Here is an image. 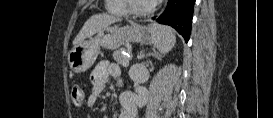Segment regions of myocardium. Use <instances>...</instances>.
<instances>
[{"instance_id": "obj_1", "label": "myocardium", "mask_w": 273, "mask_h": 118, "mask_svg": "<svg viewBox=\"0 0 273 118\" xmlns=\"http://www.w3.org/2000/svg\"><path fill=\"white\" fill-rule=\"evenodd\" d=\"M126 4H127V12L131 15L138 16V17L150 15L155 9V6L153 4H150L145 9H141V10L136 9L134 5V0H126Z\"/></svg>"}]
</instances>
